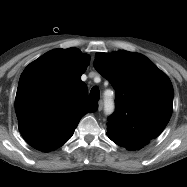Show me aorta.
Segmentation results:
<instances>
[{
    "instance_id": "1",
    "label": "aorta",
    "mask_w": 187,
    "mask_h": 187,
    "mask_svg": "<svg viewBox=\"0 0 187 187\" xmlns=\"http://www.w3.org/2000/svg\"><path fill=\"white\" fill-rule=\"evenodd\" d=\"M104 108H105L104 110H105L106 114H111L114 111V103H113L112 99H110V98L105 99Z\"/></svg>"
}]
</instances>
